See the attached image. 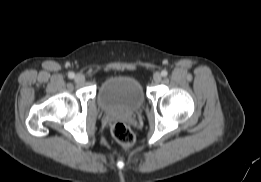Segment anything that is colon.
<instances>
[{"label":"colon","instance_id":"1","mask_svg":"<svg viewBox=\"0 0 261 182\" xmlns=\"http://www.w3.org/2000/svg\"><path fill=\"white\" fill-rule=\"evenodd\" d=\"M114 139L125 147H131L135 142V136L131 129L122 122H117L111 129Z\"/></svg>","mask_w":261,"mask_h":182}]
</instances>
